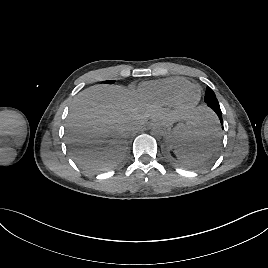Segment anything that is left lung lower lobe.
Segmentation results:
<instances>
[{
  "mask_svg": "<svg viewBox=\"0 0 268 268\" xmlns=\"http://www.w3.org/2000/svg\"><path fill=\"white\" fill-rule=\"evenodd\" d=\"M208 106L217 114V116L219 117L220 123L223 124L222 112H221V109H220V105L212 104V105H208Z\"/></svg>",
  "mask_w": 268,
  "mask_h": 268,
  "instance_id": "left-lung-lower-lobe-1",
  "label": "left lung lower lobe"
}]
</instances>
